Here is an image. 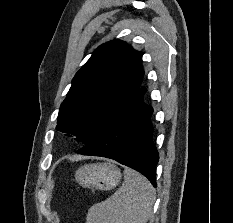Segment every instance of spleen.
Instances as JSON below:
<instances>
[{
  "label": "spleen",
  "mask_w": 233,
  "mask_h": 223,
  "mask_svg": "<svg viewBox=\"0 0 233 223\" xmlns=\"http://www.w3.org/2000/svg\"><path fill=\"white\" fill-rule=\"evenodd\" d=\"M155 201V189L150 181L129 169L119 189L87 211L86 223H146Z\"/></svg>",
  "instance_id": "3e777b00"
}]
</instances>
